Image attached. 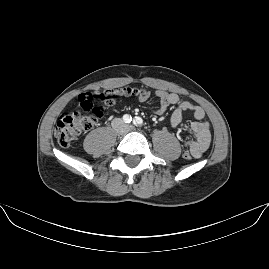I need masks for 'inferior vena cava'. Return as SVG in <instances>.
Listing matches in <instances>:
<instances>
[{"mask_svg": "<svg viewBox=\"0 0 269 269\" xmlns=\"http://www.w3.org/2000/svg\"><path fill=\"white\" fill-rule=\"evenodd\" d=\"M127 129H129V125H127Z\"/></svg>", "mask_w": 269, "mask_h": 269, "instance_id": "602c4592", "label": "inferior vena cava"}]
</instances>
